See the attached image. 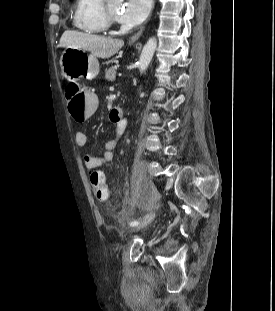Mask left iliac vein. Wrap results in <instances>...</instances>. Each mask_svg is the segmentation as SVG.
Returning a JSON list of instances; mask_svg holds the SVG:
<instances>
[{
	"mask_svg": "<svg viewBox=\"0 0 275 311\" xmlns=\"http://www.w3.org/2000/svg\"><path fill=\"white\" fill-rule=\"evenodd\" d=\"M155 218V212H149L147 213L145 216H143L141 219H140V223L139 225L132 229L133 231L135 230H139L145 226H147L148 224H150L152 222V220Z\"/></svg>",
	"mask_w": 275,
	"mask_h": 311,
	"instance_id": "left-iliac-vein-1",
	"label": "left iliac vein"
}]
</instances>
